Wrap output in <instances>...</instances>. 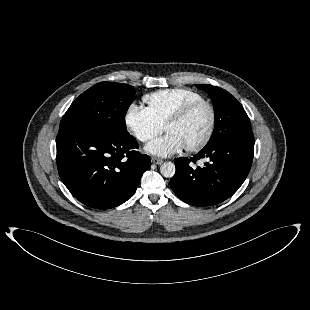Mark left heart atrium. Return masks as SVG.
Wrapping results in <instances>:
<instances>
[{
    "label": "left heart atrium",
    "mask_w": 310,
    "mask_h": 310,
    "mask_svg": "<svg viewBox=\"0 0 310 310\" xmlns=\"http://www.w3.org/2000/svg\"><path fill=\"white\" fill-rule=\"evenodd\" d=\"M184 148L181 140L174 134L167 133L153 141H151L146 147V152L159 156L168 157L174 155Z\"/></svg>",
    "instance_id": "obj_1"
}]
</instances>
